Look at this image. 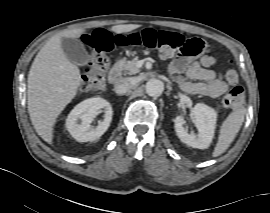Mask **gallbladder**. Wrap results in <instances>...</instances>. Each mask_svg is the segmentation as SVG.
Listing matches in <instances>:
<instances>
[{
    "label": "gallbladder",
    "instance_id": "obj_1",
    "mask_svg": "<svg viewBox=\"0 0 270 213\" xmlns=\"http://www.w3.org/2000/svg\"><path fill=\"white\" fill-rule=\"evenodd\" d=\"M61 48L68 60L76 65L84 66L90 60L84 44L77 38H62Z\"/></svg>",
    "mask_w": 270,
    "mask_h": 213
}]
</instances>
